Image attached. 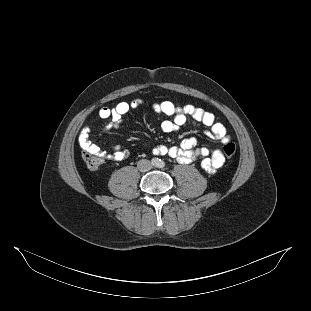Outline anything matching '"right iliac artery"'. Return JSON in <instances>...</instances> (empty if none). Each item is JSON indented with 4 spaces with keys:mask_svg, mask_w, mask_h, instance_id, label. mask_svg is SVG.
Listing matches in <instances>:
<instances>
[{
    "mask_svg": "<svg viewBox=\"0 0 311 311\" xmlns=\"http://www.w3.org/2000/svg\"><path fill=\"white\" fill-rule=\"evenodd\" d=\"M157 163H158V160H156V159H153V160H152V164H153V165H156Z\"/></svg>",
    "mask_w": 311,
    "mask_h": 311,
    "instance_id": "right-iliac-artery-1",
    "label": "right iliac artery"
}]
</instances>
